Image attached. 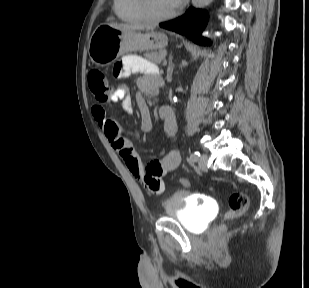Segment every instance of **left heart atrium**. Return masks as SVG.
I'll list each match as a JSON object with an SVG mask.
<instances>
[{
	"mask_svg": "<svg viewBox=\"0 0 309 288\" xmlns=\"http://www.w3.org/2000/svg\"><path fill=\"white\" fill-rule=\"evenodd\" d=\"M173 4L178 7L182 4L183 0H172Z\"/></svg>",
	"mask_w": 309,
	"mask_h": 288,
	"instance_id": "obj_1",
	"label": "left heart atrium"
}]
</instances>
